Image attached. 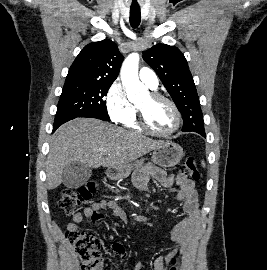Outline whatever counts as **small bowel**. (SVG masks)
I'll use <instances>...</instances> for the list:
<instances>
[{
    "label": "small bowel",
    "instance_id": "small-bowel-1",
    "mask_svg": "<svg viewBox=\"0 0 267 270\" xmlns=\"http://www.w3.org/2000/svg\"><path fill=\"white\" fill-rule=\"evenodd\" d=\"M150 178L158 180L162 186L169 187L174 182L178 186L176 200L182 201L184 218L176 223L169 231L170 239L175 243V248L166 256H158L153 263L154 270H167L168 263L175 256L177 251L183 248L194 235L199 218L198 196L195 184L192 180L186 179L183 175H168L164 170L147 165L139 170L134 177V184L138 188H144ZM109 209L112 215L125 218L124 210L114 201H94L86 206L81 212L72 217V221L68 224V228L76 229L84 218H91L94 222H100L104 215L102 210ZM115 255L124 258L126 256L125 248L120 243L112 246ZM142 264H137L133 270H142ZM115 270H121L118 266Z\"/></svg>",
    "mask_w": 267,
    "mask_h": 270
}]
</instances>
